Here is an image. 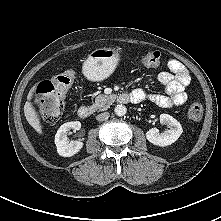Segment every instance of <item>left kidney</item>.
I'll use <instances>...</instances> for the list:
<instances>
[{"instance_id": "obj_1", "label": "left kidney", "mask_w": 221, "mask_h": 221, "mask_svg": "<svg viewBox=\"0 0 221 221\" xmlns=\"http://www.w3.org/2000/svg\"><path fill=\"white\" fill-rule=\"evenodd\" d=\"M160 122L166 124L169 129L160 133L158 129L152 128L146 132V138L149 142L157 146H168L174 143L182 134L181 124L168 114L160 115Z\"/></svg>"}]
</instances>
